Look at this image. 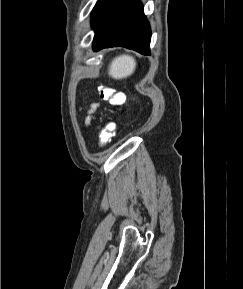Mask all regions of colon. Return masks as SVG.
<instances>
[{
    "label": "colon",
    "instance_id": "5ec220e1",
    "mask_svg": "<svg viewBox=\"0 0 243 289\" xmlns=\"http://www.w3.org/2000/svg\"><path fill=\"white\" fill-rule=\"evenodd\" d=\"M100 97L108 102L112 106H120L124 102V95L121 92H117L114 89L101 85L98 87ZM115 124L113 122H107L103 127L99 135L100 146L108 144L113 136Z\"/></svg>",
    "mask_w": 243,
    "mask_h": 289
}]
</instances>
